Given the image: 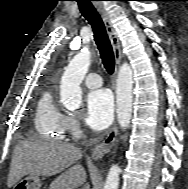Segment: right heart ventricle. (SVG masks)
I'll return each mask as SVG.
<instances>
[{
	"mask_svg": "<svg viewBox=\"0 0 188 189\" xmlns=\"http://www.w3.org/2000/svg\"><path fill=\"white\" fill-rule=\"evenodd\" d=\"M67 118L56 105L52 91H43L34 118L38 134L50 140L62 141L68 130Z\"/></svg>",
	"mask_w": 188,
	"mask_h": 189,
	"instance_id": "e07e8e85",
	"label": "right heart ventricle"
}]
</instances>
